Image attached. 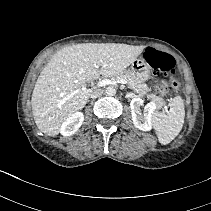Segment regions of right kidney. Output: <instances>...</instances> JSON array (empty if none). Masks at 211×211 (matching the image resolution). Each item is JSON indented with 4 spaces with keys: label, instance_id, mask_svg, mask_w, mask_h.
Returning a JSON list of instances; mask_svg holds the SVG:
<instances>
[{
    "label": "right kidney",
    "instance_id": "1",
    "mask_svg": "<svg viewBox=\"0 0 211 211\" xmlns=\"http://www.w3.org/2000/svg\"><path fill=\"white\" fill-rule=\"evenodd\" d=\"M83 121L84 115L82 112L74 113L61 125L60 133L63 136L73 135L81 127Z\"/></svg>",
    "mask_w": 211,
    "mask_h": 211
}]
</instances>
